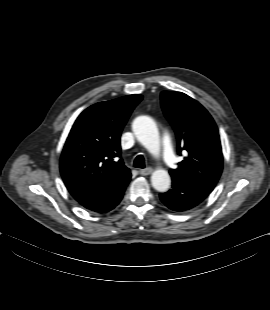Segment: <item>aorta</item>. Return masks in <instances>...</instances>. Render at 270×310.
<instances>
[{
    "label": "aorta",
    "instance_id": "obj_1",
    "mask_svg": "<svg viewBox=\"0 0 270 310\" xmlns=\"http://www.w3.org/2000/svg\"><path fill=\"white\" fill-rule=\"evenodd\" d=\"M133 132L138 141L152 154H157L160 149L158 128L148 116H138L132 124ZM151 183L155 190L166 192L171 184V179L166 170L157 169L151 175Z\"/></svg>",
    "mask_w": 270,
    "mask_h": 310
}]
</instances>
